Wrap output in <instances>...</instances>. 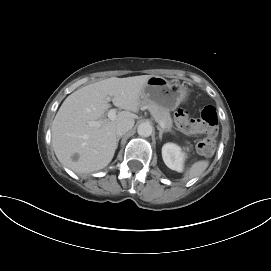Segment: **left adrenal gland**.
Instances as JSON below:
<instances>
[{
  "mask_svg": "<svg viewBox=\"0 0 271 271\" xmlns=\"http://www.w3.org/2000/svg\"><path fill=\"white\" fill-rule=\"evenodd\" d=\"M157 129L159 130V139L162 140V135L164 133V130L161 129L160 127H157Z\"/></svg>",
  "mask_w": 271,
  "mask_h": 271,
  "instance_id": "a2214340",
  "label": "left adrenal gland"
}]
</instances>
